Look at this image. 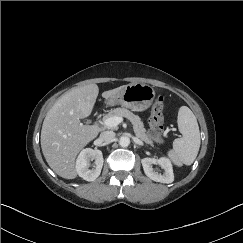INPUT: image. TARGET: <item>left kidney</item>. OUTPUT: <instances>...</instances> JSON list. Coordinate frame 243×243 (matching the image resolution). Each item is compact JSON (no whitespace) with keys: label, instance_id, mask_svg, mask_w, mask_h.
Wrapping results in <instances>:
<instances>
[{"label":"left kidney","instance_id":"5707ae66","mask_svg":"<svg viewBox=\"0 0 243 243\" xmlns=\"http://www.w3.org/2000/svg\"><path fill=\"white\" fill-rule=\"evenodd\" d=\"M145 174L153 181L161 183H172L174 174L172 164L168 158L162 157L160 159L144 158L141 160ZM153 164H158L164 169V174H159L152 168Z\"/></svg>","mask_w":243,"mask_h":243}]
</instances>
